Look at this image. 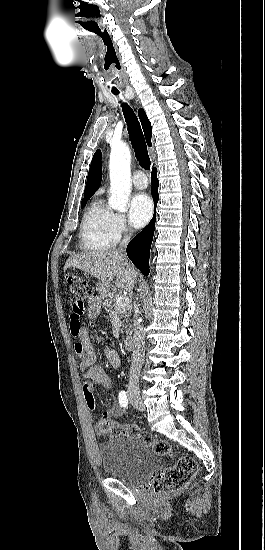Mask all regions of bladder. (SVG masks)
I'll return each instance as SVG.
<instances>
[{
    "label": "bladder",
    "mask_w": 265,
    "mask_h": 550,
    "mask_svg": "<svg viewBox=\"0 0 265 550\" xmlns=\"http://www.w3.org/2000/svg\"><path fill=\"white\" fill-rule=\"evenodd\" d=\"M104 472L125 483L142 482L158 466L159 455L133 437L117 436L99 448Z\"/></svg>",
    "instance_id": "obj_1"
}]
</instances>
